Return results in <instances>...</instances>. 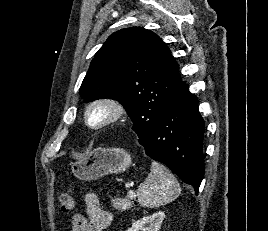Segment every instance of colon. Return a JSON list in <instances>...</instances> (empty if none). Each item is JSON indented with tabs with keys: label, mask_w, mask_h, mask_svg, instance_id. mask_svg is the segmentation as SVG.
I'll list each match as a JSON object with an SVG mask.
<instances>
[{
	"label": "colon",
	"mask_w": 268,
	"mask_h": 231,
	"mask_svg": "<svg viewBox=\"0 0 268 231\" xmlns=\"http://www.w3.org/2000/svg\"><path fill=\"white\" fill-rule=\"evenodd\" d=\"M60 209L63 213H71L77 205V200L74 196L69 194H62L60 196Z\"/></svg>",
	"instance_id": "5ec220e1"
}]
</instances>
